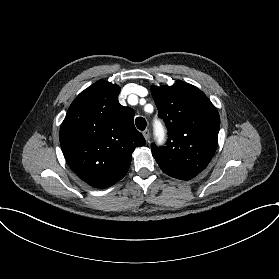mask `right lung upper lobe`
<instances>
[{"instance_id":"1","label":"right lung upper lobe","mask_w":279,"mask_h":279,"mask_svg":"<svg viewBox=\"0 0 279 279\" xmlns=\"http://www.w3.org/2000/svg\"><path fill=\"white\" fill-rule=\"evenodd\" d=\"M120 87L99 81L70 105L60 128V144L77 176L96 188L122 179L135 147L145 145L134 126V110L118 102Z\"/></svg>"}]
</instances>
